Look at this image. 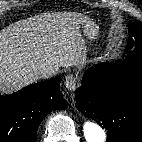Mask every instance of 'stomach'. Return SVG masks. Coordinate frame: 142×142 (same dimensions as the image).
Wrapping results in <instances>:
<instances>
[{
	"instance_id": "0dacf381",
	"label": "stomach",
	"mask_w": 142,
	"mask_h": 142,
	"mask_svg": "<svg viewBox=\"0 0 142 142\" xmlns=\"http://www.w3.org/2000/svg\"><path fill=\"white\" fill-rule=\"evenodd\" d=\"M83 35L88 40H94L98 36V27L90 19L80 23Z\"/></svg>"
}]
</instances>
